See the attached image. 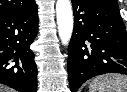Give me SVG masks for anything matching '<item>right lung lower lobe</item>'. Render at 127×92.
<instances>
[{"label":"right lung lower lobe","mask_w":127,"mask_h":92,"mask_svg":"<svg viewBox=\"0 0 127 92\" xmlns=\"http://www.w3.org/2000/svg\"><path fill=\"white\" fill-rule=\"evenodd\" d=\"M37 5L0 16V83L36 92L37 67L30 45L38 30Z\"/></svg>","instance_id":"obj_1"}]
</instances>
